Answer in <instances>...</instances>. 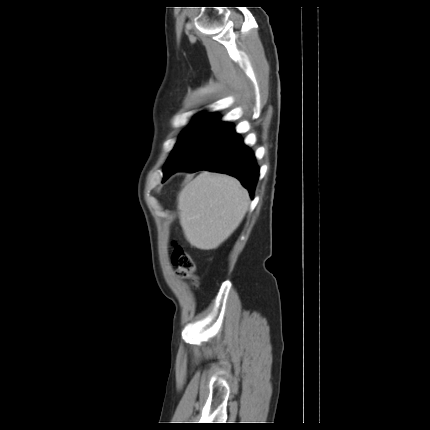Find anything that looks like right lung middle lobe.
Instances as JSON below:
<instances>
[{
    "mask_svg": "<svg viewBox=\"0 0 430 430\" xmlns=\"http://www.w3.org/2000/svg\"><path fill=\"white\" fill-rule=\"evenodd\" d=\"M234 129L230 123L219 122L217 115H199L181 134L164 166V177L195 159Z\"/></svg>",
    "mask_w": 430,
    "mask_h": 430,
    "instance_id": "right-lung-middle-lobe-1",
    "label": "right lung middle lobe"
}]
</instances>
